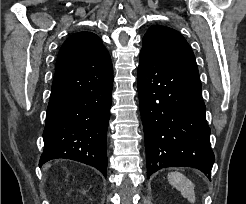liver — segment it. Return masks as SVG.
<instances>
[{"label":"liver","mask_w":246,"mask_h":204,"mask_svg":"<svg viewBox=\"0 0 246 204\" xmlns=\"http://www.w3.org/2000/svg\"><path fill=\"white\" fill-rule=\"evenodd\" d=\"M48 168V166H46L44 169H47Z\"/></svg>","instance_id":"6515ba94"}]
</instances>
